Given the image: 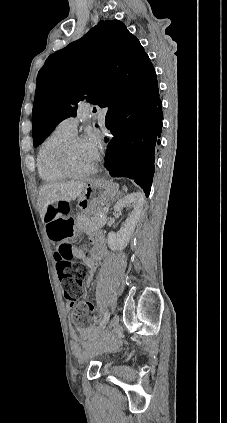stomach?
I'll list each match as a JSON object with an SVG mask.
<instances>
[{
  "label": "stomach",
  "instance_id": "stomach-1",
  "mask_svg": "<svg viewBox=\"0 0 227 423\" xmlns=\"http://www.w3.org/2000/svg\"><path fill=\"white\" fill-rule=\"evenodd\" d=\"M115 196H118V186L112 180H90L78 196L77 208L91 215L101 204L112 202Z\"/></svg>",
  "mask_w": 227,
  "mask_h": 423
}]
</instances>
